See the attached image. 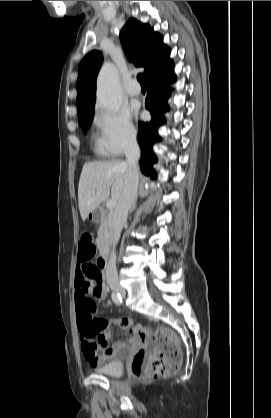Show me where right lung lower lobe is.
<instances>
[{
    "label": "right lung lower lobe",
    "instance_id": "right-lung-lower-lobe-1",
    "mask_svg": "<svg viewBox=\"0 0 271 418\" xmlns=\"http://www.w3.org/2000/svg\"><path fill=\"white\" fill-rule=\"evenodd\" d=\"M173 66V61L170 60L145 78L147 87L145 107L150 111L152 118L150 122H139L138 142L142 153L140 168L145 175L154 177H156V172L152 165L157 162V158L152 151V146L160 140L158 128L164 123L163 113L169 109L166 100L172 89L168 85L176 79Z\"/></svg>",
    "mask_w": 271,
    "mask_h": 418
}]
</instances>
